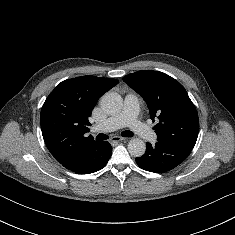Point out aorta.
<instances>
[{
    "instance_id": "aorta-1",
    "label": "aorta",
    "mask_w": 235,
    "mask_h": 235,
    "mask_svg": "<svg viewBox=\"0 0 235 235\" xmlns=\"http://www.w3.org/2000/svg\"><path fill=\"white\" fill-rule=\"evenodd\" d=\"M100 105L102 109L110 115L119 113L123 107L122 97L115 92H107L101 98ZM128 151L134 157H141L146 151V145L143 140L133 138L128 143Z\"/></svg>"
}]
</instances>
